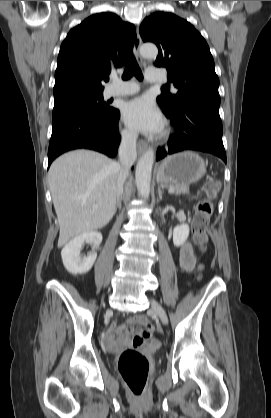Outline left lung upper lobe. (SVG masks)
I'll list each match as a JSON object with an SVG mask.
<instances>
[{
  "label": "left lung upper lobe",
  "instance_id": "1",
  "mask_svg": "<svg viewBox=\"0 0 271 418\" xmlns=\"http://www.w3.org/2000/svg\"><path fill=\"white\" fill-rule=\"evenodd\" d=\"M144 42L159 49L155 65L165 67L177 94H162L157 102L173 113L184 103L220 105L219 79L210 49L201 34L186 20L167 12L146 17L140 26Z\"/></svg>",
  "mask_w": 271,
  "mask_h": 418
}]
</instances>
